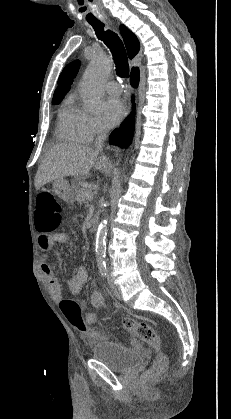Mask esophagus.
<instances>
[{"label": "esophagus", "mask_w": 231, "mask_h": 419, "mask_svg": "<svg viewBox=\"0 0 231 419\" xmlns=\"http://www.w3.org/2000/svg\"><path fill=\"white\" fill-rule=\"evenodd\" d=\"M130 111H131V103H129V105L127 107L126 115H128L130 113Z\"/></svg>", "instance_id": "obj_1"}]
</instances>
